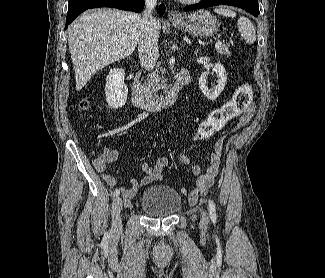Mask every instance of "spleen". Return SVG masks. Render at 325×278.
Segmentation results:
<instances>
[{
  "label": "spleen",
  "instance_id": "obj_1",
  "mask_svg": "<svg viewBox=\"0 0 325 278\" xmlns=\"http://www.w3.org/2000/svg\"><path fill=\"white\" fill-rule=\"evenodd\" d=\"M215 12L225 17H232V18L236 17V13L228 8L220 7L218 9H215ZM237 25H238L239 32L241 36L244 38V40L246 41V43L249 44L254 43L256 40V32L252 22L248 18L241 16L238 19Z\"/></svg>",
  "mask_w": 325,
  "mask_h": 278
}]
</instances>
